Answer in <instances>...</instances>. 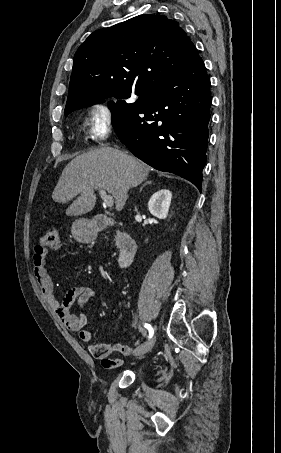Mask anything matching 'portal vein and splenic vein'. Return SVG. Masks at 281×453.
I'll list each match as a JSON object with an SVG mask.
<instances>
[{
    "mask_svg": "<svg viewBox=\"0 0 281 453\" xmlns=\"http://www.w3.org/2000/svg\"><path fill=\"white\" fill-rule=\"evenodd\" d=\"M98 192L103 200L104 206H113L114 198L113 196H111V194H107L106 190H103V188H101V190H98Z\"/></svg>",
    "mask_w": 281,
    "mask_h": 453,
    "instance_id": "obj_1",
    "label": "portal vein and splenic vein"
}]
</instances>
